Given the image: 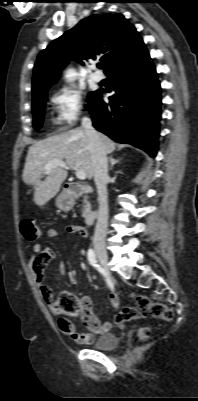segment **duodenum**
I'll list each match as a JSON object with an SVG mask.
<instances>
[{
	"label": "duodenum",
	"instance_id": "410a0bca",
	"mask_svg": "<svg viewBox=\"0 0 198 401\" xmlns=\"http://www.w3.org/2000/svg\"><path fill=\"white\" fill-rule=\"evenodd\" d=\"M92 191L93 189L90 186L73 183L67 187V199L70 201V203H73V201L78 199L80 196L89 194ZM95 219V212L92 210H87L83 218L85 226H91L95 222Z\"/></svg>",
	"mask_w": 198,
	"mask_h": 401
}]
</instances>
